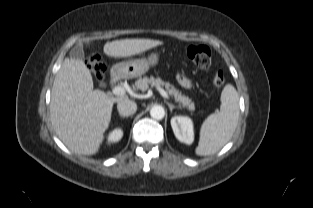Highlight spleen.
<instances>
[{
  "mask_svg": "<svg viewBox=\"0 0 313 208\" xmlns=\"http://www.w3.org/2000/svg\"><path fill=\"white\" fill-rule=\"evenodd\" d=\"M239 119V96L231 84H226L221 93L220 111L209 115L200 130L199 144L195 153L212 155L232 138Z\"/></svg>",
  "mask_w": 313,
  "mask_h": 208,
  "instance_id": "spleen-1",
  "label": "spleen"
}]
</instances>
